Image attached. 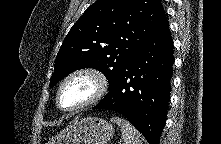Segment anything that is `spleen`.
I'll return each instance as SVG.
<instances>
[{
  "mask_svg": "<svg viewBox=\"0 0 221 144\" xmlns=\"http://www.w3.org/2000/svg\"><path fill=\"white\" fill-rule=\"evenodd\" d=\"M111 121L120 127L124 144H142L140 133L127 120L112 117Z\"/></svg>",
  "mask_w": 221,
  "mask_h": 144,
  "instance_id": "3e777b00",
  "label": "spleen"
}]
</instances>
